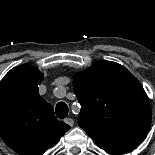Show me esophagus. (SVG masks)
<instances>
[{
	"mask_svg": "<svg viewBox=\"0 0 155 155\" xmlns=\"http://www.w3.org/2000/svg\"><path fill=\"white\" fill-rule=\"evenodd\" d=\"M64 121L69 126H73L74 125V120L72 118H66Z\"/></svg>",
	"mask_w": 155,
	"mask_h": 155,
	"instance_id": "obj_1",
	"label": "esophagus"
}]
</instances>
